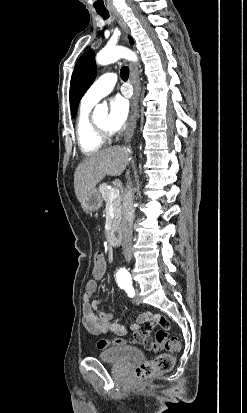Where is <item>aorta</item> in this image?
Listing matches in <instances>:
<instances>
[{"label": "aorta", "instance_id": "762f6f07", "mask_svg": "<svg viewBox=\"0 0 247 413\" xmlns=\"http://www.w3.org/2000/svg\"><path fill=\"white\" fill-rule=\"evenodd\" d=\"M119 58H125L130 61H136V54L128 48L122 46L105 47L96 55V62L100 65H107L117 61ZM97 111L106 110L105 107L96 106Z\"/></svg>", "mask_w": 247, "mask_h": 413}]
</instances>
